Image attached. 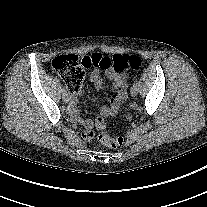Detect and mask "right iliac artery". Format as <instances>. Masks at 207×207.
Wrapping results in <instances>:
<instances>
[{"label": "right iliac artery", "instance_id": "1", "mask_svg": "<svg viewBox=\"0 0 207 207\" xmlns=\"http://www.w3.org/2000/svg\"><path fill=\"white\" fill-rule=\"evenodd\" d=\"M67 92L65 89L62 90V94L65 95Z\"/></svg>", "mask_w": 207, "mask_h": 207}]
</instances>
